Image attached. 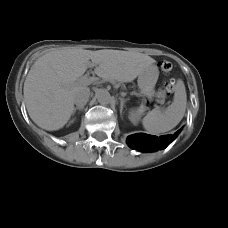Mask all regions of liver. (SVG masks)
Masks as SVG:
<instances>
[{
	"label": "liver",
	"instance_id": "liver-1",
	"mask_svg": "<svg viewBox=\"0 0 228 228\" xmlns=\"http://www.w3.org/2000/svg\"><path fill=\"white\" fill-rule=\"evenodd\" d=\"M153 63L155 60L145 54L120 50L64 49L46 53L33 64L24 83L28 114L39 127L59 130L73 113L74 93L88 88L87 84L76 83L88 67L95 66V74L105 81L124 83L133 81Z\"/></svg>",
	"mask_w": 228,
	"mask_h": 228
}]
</instances>
